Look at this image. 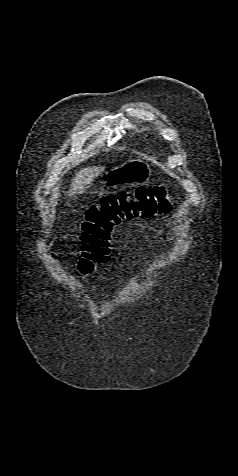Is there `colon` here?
I'll return each instance as SVG.
<instances>
[{"label":"colon","instance_id":"obj_1","mask_svg":"<svg viewBox=\"0 0 238 476\" xmlns=\"http://www.w3.org/2000/svg\"><path fill=\"white\" fill-rule=\"evenodd\" d=\"M172 202L162 185L142 186L130 192L103 198L85 213L81 224L82 275H91L110 259L114 228L126 220L168 213Z\"/></svg>","mask_w":238,"mask_h":476}]
</instances>
